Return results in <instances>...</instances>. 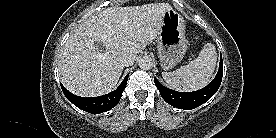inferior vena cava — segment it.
Masks as SVG:
<instances>
[{"label":"inferior vena cava","mask_w":276,"mask_h":138,"mask_svg":"<svg viewBox=\"0 0 276 138\" xmlns=\"http://www.w3.org/2000/svg\"><path fill=\"white\" fill-rule=\"evenodd\" d=\"M135 60H136V56L133 54H124L121 58V62L125 66L133 65Z\"/></svg>","instance_id":"602c4592"}]
</instances>
